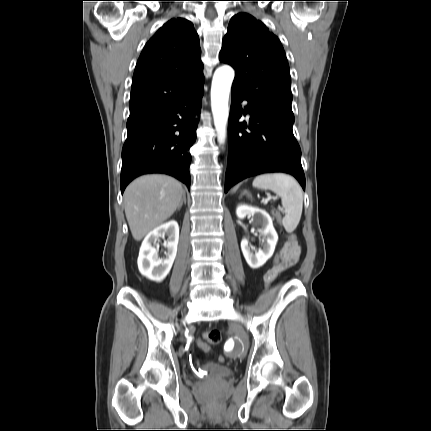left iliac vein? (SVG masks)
Segmentation results:
<instances>
[{
    "label": "left iliac vein",
    "mask_w": 431,
    "mask_h": 431,
    "mask_svg": "<svg viewBox=\"0 0 431 431\" xmlns=\"http://www.w3.org/2000/svg\"><path fill=\"white\" fill-rule=\"evenodd\" d=\"M236 333L241 338L242 343H243V350H242V352L239 355L240 358H243L246 355V352H247V349H248L247 336H246L245 332L243 330H241V329H237Z\"/></svg>",
    "instance_id": "left-iliac-vein-1"
}]
</instances>
